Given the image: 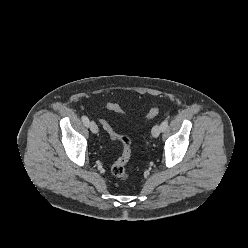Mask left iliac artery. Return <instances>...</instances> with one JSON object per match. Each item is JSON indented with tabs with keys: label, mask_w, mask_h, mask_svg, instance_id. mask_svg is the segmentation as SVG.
<instances>
[{
	"label": "left iliac artery",
	"mask_w": 248,
	"mask_h": 248,
	"mask_svg": "<svg viewBox=\"0 0 248 248\" xmlns=\"http://www.w3.org/2000/svg\"><path fill=\"white\" fill-rule=\"evenodd\" d=\"M160 127H161V131L166 130V128L168 127V120H164V121L161 123Z\"/></svg>",
	"instance_id": "44dca946"
}]
</instances>
